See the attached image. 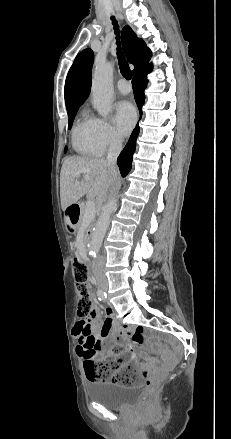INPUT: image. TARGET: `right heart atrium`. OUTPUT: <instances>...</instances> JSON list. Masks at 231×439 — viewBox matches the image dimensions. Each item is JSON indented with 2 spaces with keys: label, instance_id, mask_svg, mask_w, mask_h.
I'll list each match as a JSON object with an SVG mask.
<instances>
[{
  "label": "right heart atrium",
  "instance_id": "obj_1",
  "mask_svg": "<svg viewBox=\"0 0 231 439\" xmlns=\"http://www.w3.org/2000/svg\"><path fill=\"white\" fill-rule=\"evenodd\" d=\"M91 125L92 139L101 153L121 143L120 136L116 129L106 119L92 117Z\"/></svg>",
  "mask_w": 231,
  "mask_h": 439
}]
</instances>
